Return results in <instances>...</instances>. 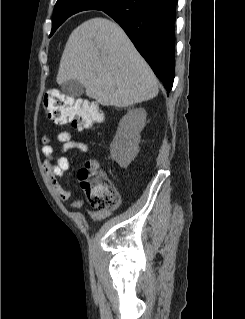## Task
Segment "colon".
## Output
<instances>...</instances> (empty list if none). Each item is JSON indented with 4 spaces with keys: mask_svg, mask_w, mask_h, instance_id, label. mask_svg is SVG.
I'll return each instance as SVG.
<instances>
[{
    "mask_svg": "<svg viewBox=\"0 0 245 319\" xmlns=\"http://www.w3.org/2000/svg\"><path fill=\"white\" fill-rule=\"evenodd\" d=\"M44 107L51 120L71 123L79 130L88 129L103 120V114L95 104L66 96L57 90H48L45 93ZM78 179L92 206L101 210L117 208L118 191L96 162H88L79 171Z\"/></svg>",
    "mask_w": 245,
    "mask_h": 319,
    "instance_id": "1",
    "label": "colon"
}]
</instances>
